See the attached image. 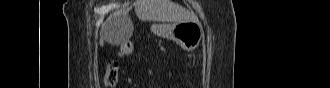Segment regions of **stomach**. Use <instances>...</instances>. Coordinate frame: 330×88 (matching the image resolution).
Masks as SVG:
<instances>
[{"instance_id": "0dacf381", "label": "stomach", "mask_w": 330, "mask_h": 88, "mask_svg": "<svg viewBox=\"0 0 330 88\" xmlns=\"http://www.w3.org/2000/svg\"><path fill=\"white\" fill-rule=\"evenodd\" d=\"M162 28L166 37L174 40L187 51L197 48L203 37L202 27L192 21L166 25Z\"/></svg>"}]
</instances>
